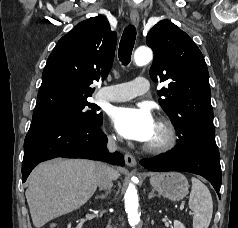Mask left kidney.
Returning a JSON list of instances; mask_svg holds the SVG:
<instances>
[{
  "mask_svg": "<svg viewBox=\"0 0 238 228\" xmlns=\"http://www.w3.org/2000/svg\"><path fill=\"white\" fill-rule=\"evenodd\" d=\"M173 228H185L184 224L181 223L180 221L178 220H175L174 221V227Z\"/></svg>",
  "mask_w": 238,
  "mask_h": 228,
  "instance_id": "1",
  "label": "left kidney"
}]
</instances>
